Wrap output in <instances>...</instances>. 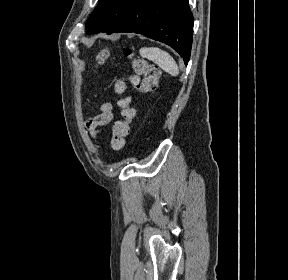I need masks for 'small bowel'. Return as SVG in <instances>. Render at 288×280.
Listing matches in <instances>:
<instances>
[{
	"instance_id": "obj_1",
	"label": "small bowel",
	"mask_w": 288,
	"mask_h": 280,
	"mask_svg": "<svg viewBox=\"0 0 288 280\" xmlns=\"http://www.w3.org/2000/svg\"><path fill=\"white\" fill-rule=\"evenodd\" d=\"M113 105L110 102H104L100 105V113L86 121V128L92 136H97L98 127L109 124L113 120Z\"/></svg>"
}]
</instances>
